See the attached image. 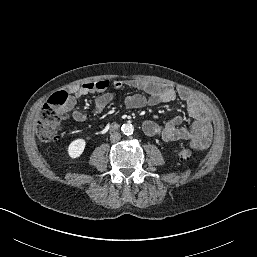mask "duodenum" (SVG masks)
I'll return each mask as SVG.
<instances>
[{
    "mask_svg": "<svg viewBox=\"0 0 257 257\" xmlns=\"http://www.w3.org/2000/svg\"><path fill=\"white\" fill-rule=\"evenodd\" d=\"M111 128H112V129H115V128H117V125H116V124H112V125H111Z\"/></svg>",
    "mask_w": 257,
    "mask_h": 257,
    "instance_id": "duodenum-1",
    "label": "duodenum"
}]
</instances>
